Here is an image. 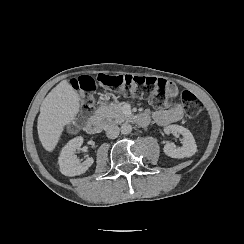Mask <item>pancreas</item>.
Masks as SVG:
<instances>
[{
  "label": "pancreas",
  "mask_w": 244,
  "mask_h": 244,
  "mask_svg": "<svg viewBox=\"0 0 244 244\" xmlns=\"http://www.w3.org/2000/svg\"><path fill=\"white\" fill-rule=\"evenodd\" d=\"M95 118L107 120L113 123L125 122L129 116L123 113L122 104L119 102H110L107 105H101L95 112Z\"/></svg>",
  "instance_id": "pancreas-1"
}]
</instances>
